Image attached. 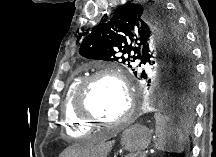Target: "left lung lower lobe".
I'll list each match as a JSON object with an SVG mask.
<instances>
[{"instance_id":"left-lung-lower-lobe-1","label":"left lung lower lobe","mask_w":216,"mask_h":157,"mask_svg":"<svg viewBox=\"0 0 216 157\" xmlns=\"http://www.w3.org/2000/svg\"><path fill=\"white\" fill-rule=\"evenodd\" d=\"M195 75V68H194ZM197 91V84L193 86H186L181 91L174 89L172 84L166 86L164 92L171 99L175 105L174 114L176 117L175 125L184 134L190 130V120L193 113L192 103L194 102Z\"/></svg>"}]
</instances>
